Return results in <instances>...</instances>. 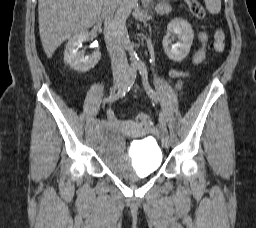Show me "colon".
<instances>
[{
    "mask_svg": "<svg viewBox=\"0 0 256 228\" xmlns=\"http://www.w3.org/2000/svg\"><path fill=\"white\" fill-rule=\"evenodd\" d=\"M193 16L199 19L206 17V11L203 5L198 0H185ZM225 33L223 30L218 29L214 34V49L222 53L225 50ZM137 122L144 126H151L152 120L146 113H140L136 118Z\"/></svg>",
    "mask_w": 256,
    "mask_h": 228,
    "instance_id": "colon-1",
    "label": "colon"
}]
</instances>
